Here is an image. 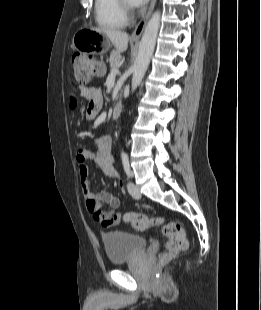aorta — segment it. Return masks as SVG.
I'll return each instance as SVG.
<instances>
[{
  "instance_id": "aorta-1",
  "label": "aorta",
  "mask_w": 261,
  "mask_h": 310,
  "mask_svg": "<svg viewBox=\"0 0 261 310\" xmlns=\"http://www.w3.org/2000/svg\"><path fill=\"white\" fill-rule=\"evenodd\" d=\"M160 26V11L154 12L148 21L133 65L132 91L140 85L153 55Z\"/></svg>"
}]
</instances>
